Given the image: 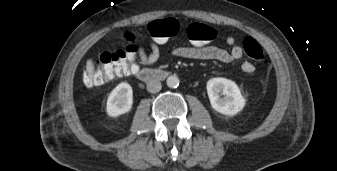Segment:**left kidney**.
I'll return each mask as SVG.
<instances>
[{
	"label": "left kidney",
	"mask_w": 337,
	"mask_h": 171,
	"mask_svg": "<svg viewBox=\"0 0 337 171\" xmlns=\"http://www.w3.org/2000/svg\"><path fill=\"white\" fill-rule=\"evenodd\" d=\"M206 87L212 108L221 114L236 115L246 104L239 87L232 80L212 78L207 82ZM219 93L224 97L220 98Z\"/></svg>",
	"instance_id": "left-kidney-1"
}]
</instances>
